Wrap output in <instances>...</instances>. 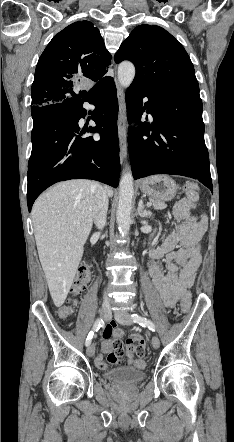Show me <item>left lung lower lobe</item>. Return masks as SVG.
<instances>
[{
  "label": "left lung lower lobe",
  "mask_w": 234,
  "mask_h": 442,
  "mask_svg": "<svg viewBox=\"0 0 234 442\" xmlns=\"http://www.w3.org/2000/svg\"><path fill=\"white\" fill-rule=\"evenodd\" d=\"M144 97L148 101L142 107ZM126 104L128 120L140 125L139 129L128 131L134 178L183 175L198 179L212 191L199 93L153 90L131 84ZM145 110L153 116L152 125L140 122Z\"/></svg>",
  "instance_id": "obj_1"
}]
</instances>
